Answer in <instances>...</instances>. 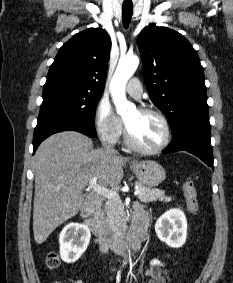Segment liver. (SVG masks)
<instances>
[{
  "label": "liver",
  "instance_id": "liver-1",
  "mask_svg": "<svg viewBox=\"0 0 233 283\" xmlns=\"http://www.w3.org/2000/svg\"><path fill=\"white\" fill-rule=\"evenodd\" d=\"M127 160L106 149H93L92 140L76 131L59 132L44 140L33 163L36 243L45 242L59 225L80 211L82 190L92 178L102 186L117 187Z\"/></svg>",
  "mask_w": 233,
  "mask_h": 283
}]
</instances>
